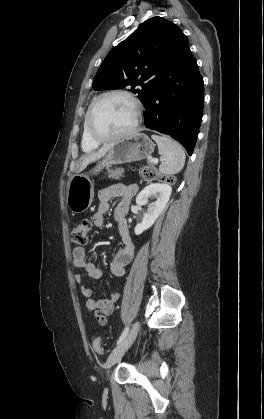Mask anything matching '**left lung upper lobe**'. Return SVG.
Instances as JSON below:
<instances>
[{
    "mask_svg": "<svg viewBox=\"0 0 264 419\" xmlns=\"http://www.w3.org/2000/svg\"><path fill=\"white\" fill-rule=\"evenodd\" d=\"M182 34L174 23L162 17L144 21L108 53L95 76L93 89L131 86L130 91L137 93L144 104L155 82L170 74L174 45Z\"/></svg>",
    "mask_w": 264,
    "mask_h": 419,
    "instance_id": "1",
    "label": "left lung upper lobe"
}]
</instances>
